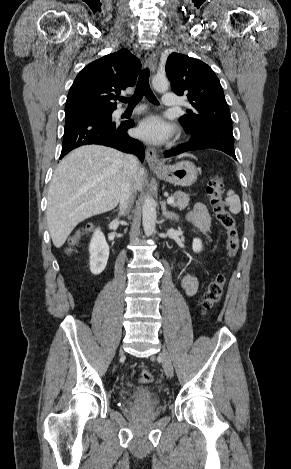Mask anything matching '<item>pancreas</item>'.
<instances>
[{"label": "pancreas", "mask_w": 291, "mask_h": 469, "mask_svg": "<svg viewBox=\"0 0 291 469\" xmlns=\"http://www.w3.org/2000/svg\"><path fill=\"white\" fill-rule=\"evenodd\" d=\"M174 202L172 203L173 207H177L180 210H183L188 206L190 201L189 196L181 191H177L173 194Z\"/></svg>", "instance_id": "pancreas-1"}]
</instances>
